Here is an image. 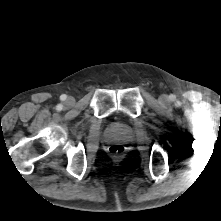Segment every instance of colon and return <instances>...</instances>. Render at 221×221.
Returning a JSON list of instances; mask_svg holds the SVG:
<instances>
[{"instance_id":"colon-1","label":"colon","mask_w":221,"mask_h":221,"mask_svg":"<svg viewBox=\"0 0 221 221\" xmlns=\"http://www.w3.org/2000/svg\"><path fill=\"white\" fill-rule=\"evenodd\" d=\"M124 152V147L121 144H113L109 147V153L113 156H119Z\"/></svg>"}]
</instances>
